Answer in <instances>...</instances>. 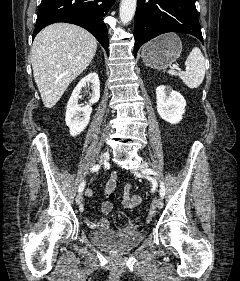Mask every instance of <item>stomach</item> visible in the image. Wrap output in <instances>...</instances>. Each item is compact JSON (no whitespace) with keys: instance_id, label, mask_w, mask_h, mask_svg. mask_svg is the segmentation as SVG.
<instances>
[{"instance_id":"obj_1","label":"stomach","mask_w":240,"mask_h":281,"mask_svg":"<svg viewBox=\"0 0 240 281\" xmlns=\"http://www.w3.org/2000/svg\"><path fill=\"white\" fill-rule=\"evenodd\" d=\"M181 51L180 38L174 33H168L147 43L142 48L141 58L147 66L166 68L177 60Z\"/></svg>"}]
</instances>
